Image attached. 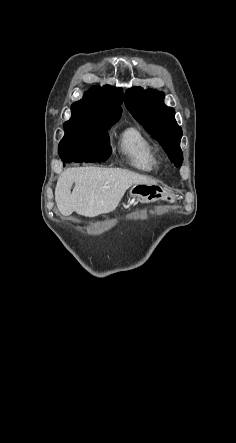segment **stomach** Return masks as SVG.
<instances>
[{"label": "stomach", "mask_w": 236, "mask_h": 443, "mask_svg": "<svg viewBox=\"0 0 236 443\" xmlns=\"http://www.w3.org/2000/svg\"><path fill=\"white\" fill-rule=\"evenodd\" d=\"M129 195L132 202L150 203L160 199L171 200L170 194L157 184H136L131 188Z\"/></svg>", "instance_id": "stomach-1"}]
</instances>
